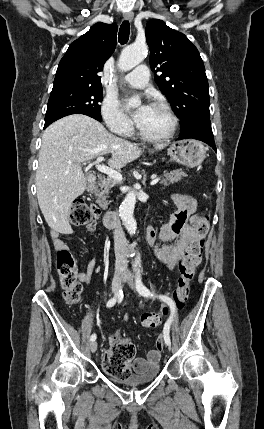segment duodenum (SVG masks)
<instances>
[{"label":"duodenum","instance_id":"duodenum-1","mask_svg":"<svg viewBox=\"0 0 264 429\" xmlns=\"http://www.w3.org/2000/svg\"><path fill=\"white\" fill-rule=\"evenodd\" d=\"M96 182V177L95 176H89L88 177V188L91 189L93 187V185ZM117 217V213L115 211H108L104 216H103V224L108 227H114L115 224L117 223V221L115 220V218Z\"/></svg>","mask_w":264,"mask_h":429}]
</instances>
